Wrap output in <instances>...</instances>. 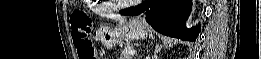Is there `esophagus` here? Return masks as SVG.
Wrapping results in <instances>:
<instances>
[{
  "label": "esophagus",
  "mask_w": 261,
  "mask_h": 59,
  "mask_svg": "<svg viewBox=\"0 0 261 59\" xmlns=\"http://www.w3.org/2000/svg\"><path fill=\"white\" fill-rule=\"evenodd\" d=\"M137 19H138V22L144 21V17H142V16H139Z\"/></svg>",
  "instance_id": "esophagus-1"
}]
</instances>
